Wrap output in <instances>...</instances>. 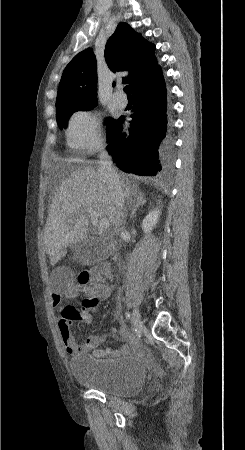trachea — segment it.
Here are the masks:
<instances>
[{
    "label": "trachea",
    "instance_id": "trachea-1",
    "mask_svg": "<svg viewBox=\"0 0 245 450\" xmlns=\"http://www.w3.org/2000/svg\"><path fill=\"white\" fill-rule=\"evenodd\" d=\"M124 92L129 96L130 95V92H129V86H125L124 87Z\"/></svg>",
    "mask_w": 245,
    "mask_h": 450
}]
</instances>
